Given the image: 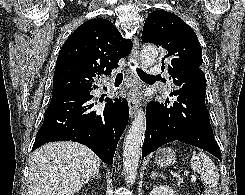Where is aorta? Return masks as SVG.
<instances>
[{"label": "aorta", "instance_id": "762f6f07", "mask_svg": "<svg viewBox=\"0 0 245 195\" xmlns=\"http://www.w3.org/2000/svg\"><path fill=\"white\" fill-rule=\"evenodd\" d=\"M157 49L153 45H145L141 50V63L148 67L155 62ZM146 130L145 112L139 110L128 130L124 141L123 168L127 173V183L133 184L136 179L138 163L141 155Z\"/></svg>", "mask_w": 245, "mask_h": 195}]
</instances>
